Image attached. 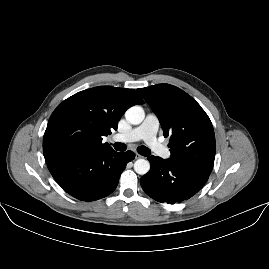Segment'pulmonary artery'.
Returning a JSON list of instances; mask_svg holds the SVG:
<instances>
[{
  "label": "pulmonary artery",
  "mask_w": 269,
  "mask_h": 269,
  "mask_svg": "<svg viewBox=\"0 0 269 269\" xmlns=\"http://www.w3.org/2000/svg\"><path fill=\"white\" fill-rule=\"evenodd\" d=\"M159 126L158 117L150 113L139 126L126 133L114 135L113 140L121 143L144 141L159 157H168L167 149L157 141Z\"/></svg>",
  "instance_id": "e3ab8cb5"
}]
</instances>
